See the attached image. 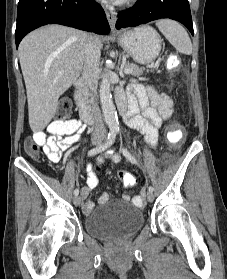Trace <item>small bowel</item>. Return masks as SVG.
Listing matches in <instances>:
<instances>
[{
    "label": "small bowel",
    "instance_id": "small-bowel-1",
    "mask_svg": "<svg viewBox=\"0 0 227 279\" xmlns=\"http://www.w3.org/2000/svg\"><path fill=\"white\" fill-rule=\"evenodd\" d=\"M128 101V112L125 116L127 125L142 133L145 140L154 146L158 140L159 128L163 121L171 117L174 109L173 99L165 93L158 92L154 87L144 86L133 81L125 95L122 91L117 92V102ZM59 121H53L49 124L46 131L36 132L32 140L41 145L43 152L51 163H57L62 158V153L73 150L75 144L83 142L81 131L83 123L76 119L68 120V129L60 127ZM107 159L113 162H119L121 156L108 151L105 154ZM87 181L81 189V197L85 200L83 211L90 214L94 210V202L88 200L91 190L99 185L96 171L91 162L86 164ZM109 200L106 193H102L97 203L102 205Z\"/></svg>",
    "mask_w": 227,
    "mask_h": 279
}]
</instances>
